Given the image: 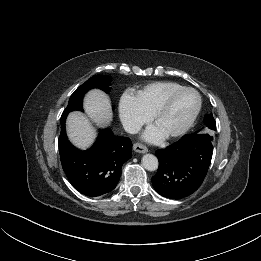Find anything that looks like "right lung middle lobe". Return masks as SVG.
<instances>
[{
    "label": "right lung middle lobe",
    "mask_w": 261,
    "mask_h": 261,
    "mask_svg": "<svg viewBox=\"0 0 261 261\" xmlns=\"http://www.w3.org/2000/svg\"><path fill=\"white\" fill-rule=\"evenodd\" d=\"M110 84V77L105 75H95L91 77L88 81H86L84 84L79 86L76 91L71 95L67 108L63 111L61 116V122H64L66 120V117L69 112L74 110H80L83 111L82 108V101L84 94L93 88H99L106 93L109 92L111 89L109 87Z\"/></svg>",
    "instance_id": "1"
}]
</instances>
